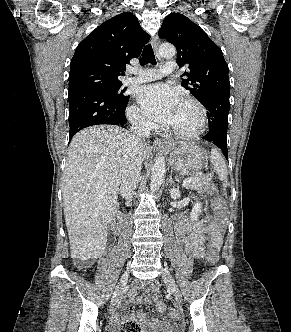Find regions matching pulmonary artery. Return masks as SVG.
<instances>
[{
	"label": "pulmonary artery",
	"mask_w": 291,
	"mask_h": 332,
	"mask_svg": "<svg viewBox=\"0 0 291 332\" xmlns=\"http://www.w3.org/2000/svg\"><path fill=\"white\" fill-rule=\"evenodd\" d=\"M176 69V63L166 62L161 68H149L140 71L136 76L129 77L126 83H143L160 79L165 75L172 74Z\"/></svg>",
	"instance_id": "pulmonary-artery-1"
}]
</instances>
